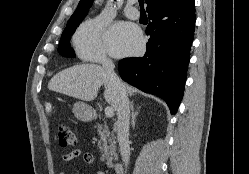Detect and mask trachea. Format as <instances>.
Here are the masks:
<instances>
[{"mask_svg": "<svg viewBox=\"0 0 249 174\" xmlns=\"http://www.w3.org/2000/svg\"><path fill=\"white\" fill-rule=\"evenodd\" d=\"M139 5H140L141 10H143L144 0H139Z\"/></svg>", "mask_w": 249, "mask_h": 174, "instance_id": "3493384b", "label": "trachea"}]
</instances>
